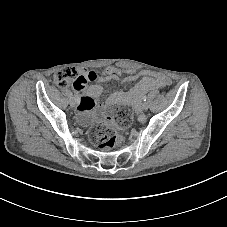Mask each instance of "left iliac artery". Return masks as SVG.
Listing matches in <instances>:
<instances>
[{"mask_svg": "<svg viewBox=\"0 0 227 227\" xmlns=\"http://www.w3.org/2000/svg\"><path fill=\"white\" fill-rule=\"evenodd\" d=\"M143 101L145 102V101H147V96H143Z\"/></svg>", "mask_w": 227, "mask_h": 227, "instance_id": "44dca946", "label": "left iliac artery"}]
</instances>
